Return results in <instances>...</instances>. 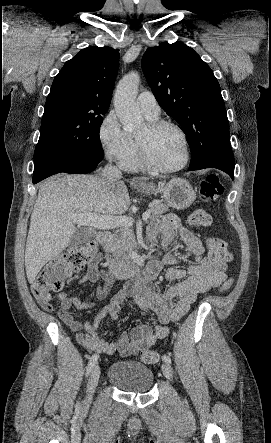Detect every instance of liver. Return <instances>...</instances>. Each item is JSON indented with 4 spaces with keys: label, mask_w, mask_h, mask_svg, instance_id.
Returning <instances> with one entry per match:
<instances>
[{
    "label": "liver",
    "mask_w": 271,
    "mask_h": 443,
    "mask_svg": "<svg viewBox=\"0 0 271 443\" xmlns=\"http://www.w3.org/2000/svg\"><path fill=\"white\" fill-rule=\"evenodd\" d=\"M130 206L128 190L119 178L59 174L42 184L27 235L25 269L34 283L43 265L63 251L76 231L71 216L98 214L113 218Z\"/></svg>",
    "instance_id": "6515ba94"
}]
</instances>
